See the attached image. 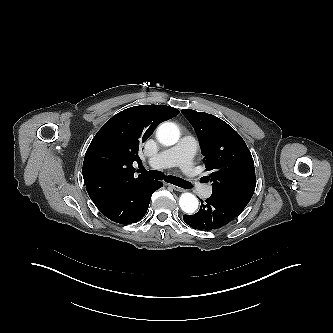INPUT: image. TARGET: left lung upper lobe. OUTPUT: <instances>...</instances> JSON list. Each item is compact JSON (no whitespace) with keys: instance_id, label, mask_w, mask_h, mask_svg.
Returning a JSON list of instances; mask_svg holds the SVG:
<instances>
[{"instance_id":"left-lung-upper-lobe-1","label":"left lung upper lobe","mask_w":333,"mask_h":333,"mask_svg":"<svg viewBox=\"0 0 333 333\" xmlns=\"http://www.w3.org/2000/svg\"><path fill=\"white\" fill-rule=\"evenodd\" d=\"M193 126L204 155L212 195L243 211L256 186L252 155L242 137L223 120L204 112L181 110Z\"/></svg>"}]
</instances>
